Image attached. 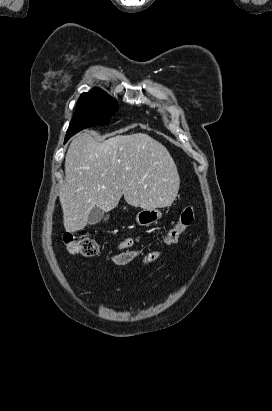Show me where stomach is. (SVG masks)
Instances as JSON below:
<instances>
[{
	"label": "stomach",
	"mask_w": 272,
	"mask_h": 411,
	"mask_svg": "<svg viewBox=\"0 0 272 411\" xmlns=\"http://www.w3.org/2000/svg\"><path fill=\"white\" fill-rule=\"evenodd\" d=\"M161 215V212L157 209H142L136 215V222L140 226H150L155 224Z\"/></svg>",
	"instance_id": "obj_1"
}]
</instances>
